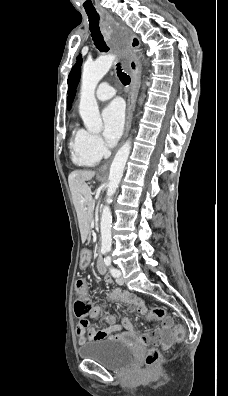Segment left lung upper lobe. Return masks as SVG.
Masks as SVG:
<instances>
[{
  "mask_svg": "<svg viewBox=\"0 0 228 396\" xmlns=\"http://www.w3.org/2000/svg\"><path fill=\"white\" fill-rule=\"evenodd\" d=\"M81 64H82V57L79 55L77 57L76 64L72 67V70L68 76V110L72 106V102L75 96L76 88L80 80L81 76Z\"/></svg>",
  "mask_w": 228,
  "mask_h": 396,
  "instance_id": "1",
  "label": "left lung upper lobe"
}]
</instances>
